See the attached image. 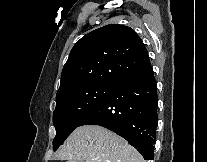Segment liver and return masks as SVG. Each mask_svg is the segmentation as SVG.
<instances>
[{"instance_id":"1","label":"liver","mask_w":207,"mask_h":162,"mask_svg":"<svg viewBox=\"0 0 207 162\" xmlns=\"http://www.w3.org/2000/svg\"><path fill=\"white\" fill-rule=\"evenodd\" d=\"M68 162H145L125 139L99 125L76 128L56 154Z\"/></svg>"}]
</instances>
